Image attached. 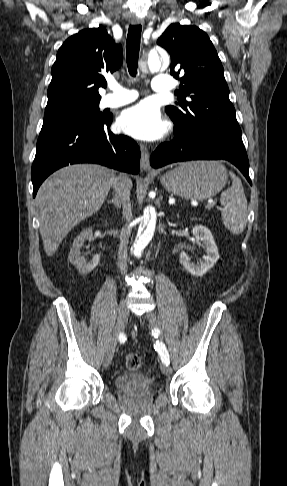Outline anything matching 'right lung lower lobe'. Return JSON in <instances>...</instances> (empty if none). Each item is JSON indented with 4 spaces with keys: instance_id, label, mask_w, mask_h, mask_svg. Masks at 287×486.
<instances>
[{
    "instance_id": "98d812e1",
    "label": "right lung lower lobe",
    "mask_w": 287,
    "mask_h": 486,
    "mask_svg": "<svg viewBox=\"0 0 287 486\" xmlns=\"http://www.w3.org/2000/svg\"><path fill=\"white\" fill-rule=\"evenodd\" d=\"M111 114L95 122L41 131L32 165L33 197L57 169L75 163H98L123 172H139L140 149L124 135L110 131Z\"/></svg>"
}]
</instances>
